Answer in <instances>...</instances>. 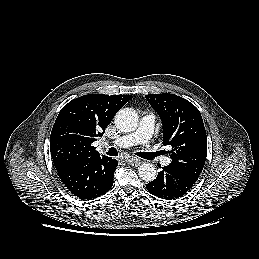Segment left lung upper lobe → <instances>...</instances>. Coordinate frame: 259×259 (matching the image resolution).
<instances>
[{
    "label": "left lung upper lobe",
    "mask_w": 259,
    "mask_h": 259,
    "mask_svg": "<svg viewBox=\"0 0 259 259\" xmlns=\"http://www.w3.org/2000/svg\"><path fill=\"white\" fill-rule=\"evenodd\" d=\"M163 124V144L171 145L169 164L196 182L207 155V136L199 110L175 94H148Z\"/></svg>",
    "instance_id": "left-lung-upper-lobe-1"
}]
</instances>
